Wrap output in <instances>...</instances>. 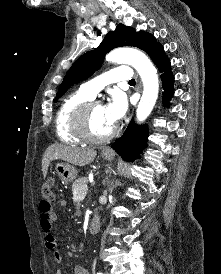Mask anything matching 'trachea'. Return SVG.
I'll list each match as a JSON object with an SVG mask.
<instances>
[{"label":"trachea","mask_w":221,"mask_h":274,"mask_svg":"<svg viewBox=\"0 0 221 274\" xmlns=\"http://www.w3.org/2000/svg\"><path fill=\"white\" fill-rule=\"evenodd\" d=\"M129 83H130V84H133V83H135V80H134V79H131V80L129 81Z\"/></svg>","instance_id":"1"}]
</instances>
